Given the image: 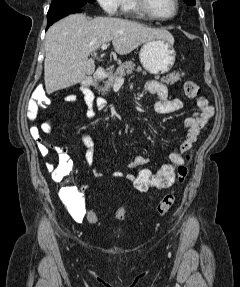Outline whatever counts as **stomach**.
Masks as SVG:
<instances>
[{"mask_svg": "<svg viewBox=\"0 0 240 287\" xmlns=\"http://www.w3.org/2000/svg\"><path fill=\"white\" fill-rule=\"evenodd\" d=\"M174 40L158 38L146 41L139 52L143 68L151 74L168 72L175 63Z\"/></svg>", "mask_w": 240, "mask_h": 287, "instance_id": "stomach-1", "label": "stomach"}]
</instances>
